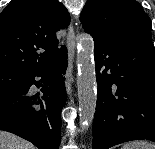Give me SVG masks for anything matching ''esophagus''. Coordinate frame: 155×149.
Here are the masks:
<instances>
[{
	"label": "esophagus",
	"instance_id": "obj_1",
	"mask_svg": "<svg viewBox=\"0 0 155 149\" xmlns=\"http://www.w3.org/2000/svg\"><path fill=\"white\" fill-rule=\"evenodd\" d=\"M67 43H68L69 66H68L66 76H67V78H69L71 75L72 68H73V61H74V54H75V47H76L75 31L73 28L72 20L68 26ZM69 85H70V82H69V80H67L66 88H67L68 92H69Z\"/></svg>",
	"mask_w": 155,
	"mask_h": 149
}]
</instances>
